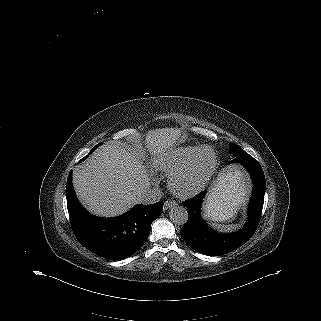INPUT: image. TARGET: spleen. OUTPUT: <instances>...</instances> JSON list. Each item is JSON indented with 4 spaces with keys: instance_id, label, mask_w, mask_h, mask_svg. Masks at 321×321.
<instances>
[{
    "instance_id": "1",
    "label": "spleen",
    "mask_w": 321,
    "mask_h": 321,
    "mask_svg": "<svg viewBox=\"0 0 321 321\" xmlns=\"http://www.w3.org/2000/svg\"><path fill=\"white\" fill-rule=\"evenodd\" d=\"M234 203H230L229 199L220 201H209L205 207V215L213 221H223L229 219L233 214ZM218 228L226 229L224 226H217ZM231 226L230 228H234Z\"/></svg>"
}]
</instances>
